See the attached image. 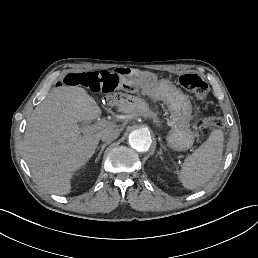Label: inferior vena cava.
Returning <instances> with one entry per match:
<instances>
[{"instance_id":"obj_1","label":"inferior vena cava","mask_w":258,"mask_h":258,"mask_svg":"<svg viewBox=\"0 0 258 258\" xmlns=\"http://www.w3.org/2000/svg\"><path fill=\"white\" fill-rule=\"evenodd\" d=\"M119 134V129H116L113 126H107L101 131L100 138L103 142H112L118 138Z\"/></svg>"}]
</instances>
